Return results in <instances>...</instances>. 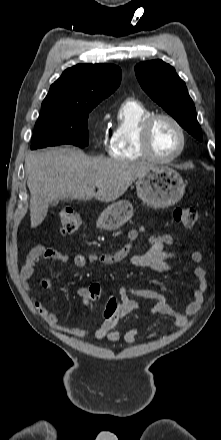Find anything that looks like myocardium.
<instances>
[{
	"label": "myocardium",
	"instance_id": "f54148a6",
	"mask_svg": "<svg viewBox=\"0 0 221 440\" xmlns=\"http://www.w3.org/2000/svg\"><path fill=\"white\" fill-rule=\"evenodd\" d=\"M159 119H166L170 121L177 128L180 135V146L178 150L169 157H160L156 155V153L152 148L151 132L154 124ZM139 137H140L141 148L145 156L151 161L158 163H169L177 159L184 152L187 143L186 132L182 124L174 116L163 112L152 113L142 121L140 125Z\"/></svg>",
	"mask_w": 221,
	"mask_h": 440
}]
</instances>
